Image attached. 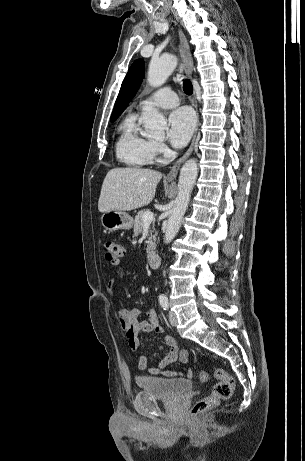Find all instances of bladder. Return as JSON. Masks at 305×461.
I'll list each match as a JSON object with an SVG mask.
<instances>
[{
	"label": "bladder",
	"mask_w": 305,
	"mask_h": 461,
	"mask_svg": "<svg viewBox=\"0 0 305 461\" xmlns=\"http://www.w3.org/2000/svg\"><path fill=\"white\" fill-rule=\"evenodd\" d=\"M137 384L142 392L164 400H174L192 389V382L188 379L155 375L139 376Z\"/></svg>",
	"instance_id": "bladder-1"
}]
</instances>
